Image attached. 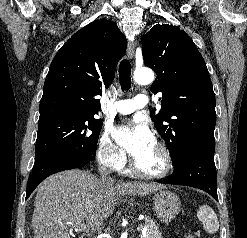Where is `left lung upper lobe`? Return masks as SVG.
<instances>
[{
    "label": "left lung upper lobe",
    "instance_id": "1",
    "mask_svg": "<svg viewBox=\"0 0 247 238\" xmlns=\"http://www.w3.org/2000/svg\"><path fill=\"white\" fill-rule=\"evenodd\" d=\"M141 42L144 63L157 73L151 91L163 94L161 112L151 119L174 167L187 151L214 156L215 95L196 45L183 30L168 24L153 26Z\"/></svg>",
    "mask_w": 247,
    "mask_h": 238
}]
</instances>
